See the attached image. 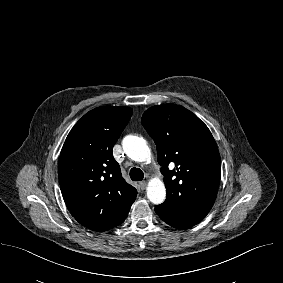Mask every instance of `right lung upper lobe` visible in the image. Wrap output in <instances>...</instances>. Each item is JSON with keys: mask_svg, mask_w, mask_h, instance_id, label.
<instances>
[{"mask_svg": "<svg viewBox=\"0 0 283 283\" xmlns=\"http://www.w3.org/2000/svg\"><path fill=\"white\" fill-rule=\"evenodd\" d=\"M129 107L89 111L68 134L59 158V184L73 217L93 231H107L127 217L137 190L121 175L113 146L129 122Z\"/></svg>", "mask_w": 283, "mask_h": 283, "instance_id": "1", "label": "right lung upper lobe"}]
</instances>
